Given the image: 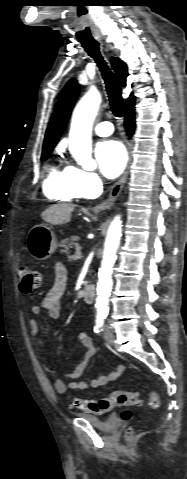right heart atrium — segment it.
Here are the masks:
<instances>
[{"label":"right heart atrium","mask_w":187,"mask_h":479,"mask_svg":"<svg viewBox=\"0 0 187 479\" xmlns=\"http://www.w3.org/2000/svg\"><path fill=\"white\" fill-rule=\"evenodd\" d=\"M70 168L73 183L78 190L80 197L91 198L98 195L102 187V180L96 172L83 170L77 167Z\"/></svg>","instance_id":"right-heart-atrium-1"}]
</instances>
